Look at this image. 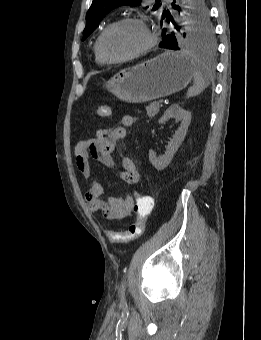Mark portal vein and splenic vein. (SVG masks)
<instances>
[{
  "label": "portal vein and splenic vein",
  "mask_w": 261,
  "mask_h": 340,
  "mask_svg": "<svg viewBox=\"0 0 261 340\" xmlns=\"http://www.w3.org/2000/svg\"><path fill=\"white\" fill-rule=\"evenodd\" d=\"M162 103H163V99H160V100H159V104H162Z\"/></svg>",
  "instance_id": "portal-vein-and-splenic-vein-1"
}]
</instances>
